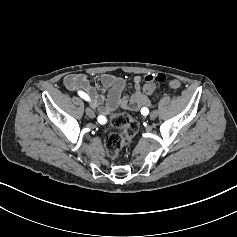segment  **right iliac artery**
Returning <instances> with one entry per match:
<instances>
[{
	"label": "right iliac artery",
	"instance_id": "obj_1",
	"mask_svg": "<svg viewBox=\"0 0 237 237\" xmlns=\"http://www.w3.org/2000/svg\"><path fill=\"white\" fill-rule=\"evenodd\" d=\"M78 94H79V96H80L81 98H83V99H85V100H87V101L90 100L89 96H88L86 93H84L83 91H79ZM98 122H99L100 124H104V123L106 122V118H105L104 116H99V117H98Z\"/></svg>",
	"mask_w": 237,
	"mask_h": 237
}]
</instances>
